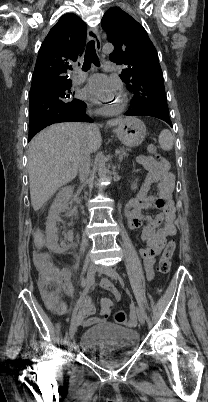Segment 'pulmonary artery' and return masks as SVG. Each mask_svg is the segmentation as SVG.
Listing matches in <instances>:
<instances>
[{
    "label": "pulmonary artery",
    "instance_id": "pulmonary-artery-1",
    "mask_svg": "<svg viewBox=\"0 0 208 402\" xmlns=\"http://www.w3.org/2000/svg\"><path fill=\"white\" fill-rule=\"evenodd\" d=\"M114 63H113V61L112 60H105L104 62H103V65H104V69L106 70V71H113L114 70V65H113ZM74 73H75V75L76 76H87V75H89V73H90V70H89V68H87V67H76L75 68V70H74Z\"/></svg>",
    "mask_w": 208,
    "mask_h": 402
}]
</instances>
